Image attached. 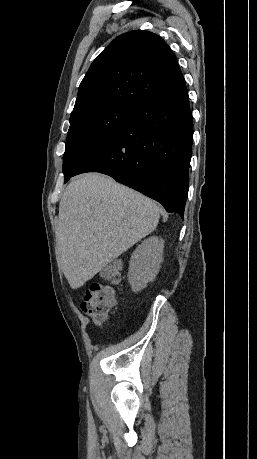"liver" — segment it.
Masks as SVG:
<instances>
[{"instance_id":"1","label":"liver","mask_w":257,"mask_h":459,"mask_svg":"<svg viewBox=\"0 0 257 459\" xmlns=\"http://www.w3.org/2000/svg\"><path fill=\"white\" fill-rule=\"evenodd\" d=\"M160 207L99 173L73 180L59 203L57 245L72 289L83 286L109 262L153 232Z\"/></svg>"}]
</instances>
